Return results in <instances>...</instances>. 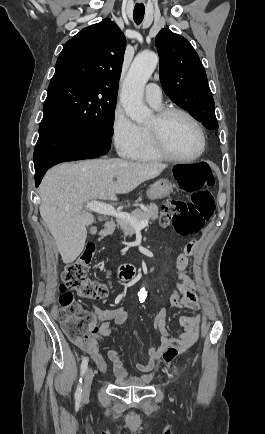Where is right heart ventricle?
Instances as JSON below:
<instances>
[{
	"label": "right heart ventricle",
	"instance_id": "1",
	"mask_svg": "<svg viewBox=\"0 0 265 434\" xmlns=\"http://www.w3.org/2000/svg\"><path fill=\"white\" fill-rule=\"evenodd\" d=\"M154 107L157 110L161 109L160 104ZM140 132H141V142L139 146L136 148L135 153L130 154V157L128 159L133 161L150 162V163L166 161L167 159L158 152L155 146L154 137L149 125L140 126Z\"/></svg>",
	"mask_w": 265,
	"mask_h": 434
}]
</instances>
